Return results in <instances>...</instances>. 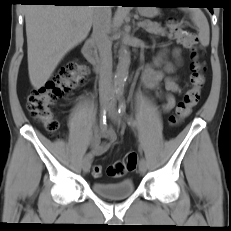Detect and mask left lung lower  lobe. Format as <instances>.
<instances>
[{"label": "left lung lower lobe", "mask_w": 231, "mask_h": 231, "mask_svg": "<svg viewBox=\"0 0 231 231\" xmlns=\"http://www.w3.org/2000/svg\"><path fill=\"white\" fill-rule=\"evenodd\" d=\"M208 9L210 10L211 13H213V8L212 7H208Z\"/></svg>", "instance_id": "left-lung-lower-lobe-1"}]
</instances>
